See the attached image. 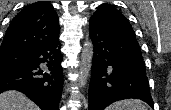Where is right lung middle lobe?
Segmentation results:
<instances>
[{"instance_id": "right-lung-middle-lobe-1", "label": "right lung middle lobe", "mask_w": 171, "mask_h": 110, "mask_svg": "<svg viewBox=\"0 0 171 110\" xmlns=\"http://www.w3.org/2000/svg\"><path fill=\"white\" fill-rule=\"evenodd\" d=\"M28 60L27 53L0 54V71L19 66Z\"/></svg>"}]
</instances>
